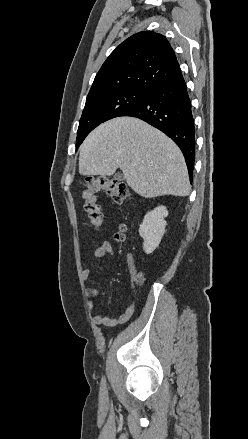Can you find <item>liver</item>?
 <instances>
[{
  "instance_id": "6515ba94",
  "label": "liver",
  "mask_w": 248,
  "mask_h": 439,
  "mask_svg": "<svg viewBox=\"0 0 248 439\" xmlns=\"http://www.w3.org/2000/svg\"><path fill=\"white\" fill-rule=\"evenodd\" d=\"M118 168L142 197H184L190 193L188 170L179 147L140 119L117 117L102 123L80 147V175L111 176Z\"/></svg>"
}]
</instances>
